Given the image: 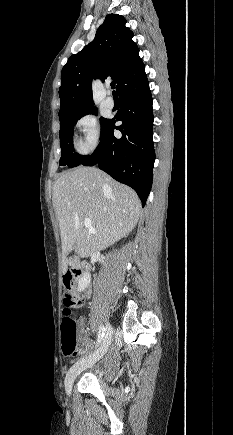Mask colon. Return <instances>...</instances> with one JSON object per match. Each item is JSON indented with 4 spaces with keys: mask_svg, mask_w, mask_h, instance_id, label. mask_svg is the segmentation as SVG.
Listing matches in <instances>:
<instances>
[{
    "mask_svg": "<svg viewBox=\"0 0 233 435\" xmlns=\"http://www.w3.org/2000/svg\"><path fill=\"white\" fill-rule=\"evenodd\" d=\"M78 277L68 270L63 276V288L70 290L77 282ZM64 310L61 321L62 352L65 355H77L85 351L78 344V324L73 317V309L82 306V302L75 301L69 293L64 295Z\"/></svg>",
    "mask_w": 233,
    "mask_h": 435,
    "instance_id": "obj_1",
    "label": "colon"
}]
</instances>
